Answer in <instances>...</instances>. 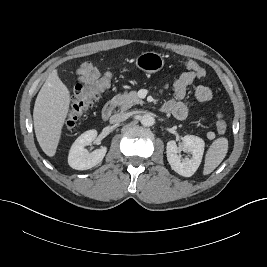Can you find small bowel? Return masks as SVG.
<instances>
[{
    "instance_id": "small-bowel-1",
    "label": "small bowel",
    "mask_w": 267,
    "mask_h": 267,
    "mask_svg": "<svg viewBox=\"0 0 267 267\" xmlns=\"http://www.w3.org/2000/svg\"><path fill=\"white\" fill-rule=\"evenodd\" d=\"M79 83L90 84L100 77V72L92 62H84L76 71ZM195 72L186 71L173 83L172 99L163 105V111L171 113L177 119H184L188 114V106L184 102L187 87L197 78ZM195 97L199 102H207L212 98V90L206 85H199L195 89Z\"/></svg>"
}]
</instances>
